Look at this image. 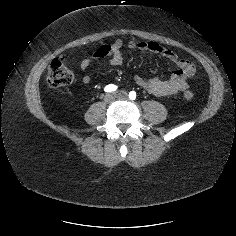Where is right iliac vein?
Masks as SVG:
<instances>
[{
	"label": "right iliac vein",
	"mask_w": 236,
	"mask_h": 236,
	"mask_svg": "<svg viewBox=\"0 0 236 236\" xmlns=\"http://www.w3.org/2000/svg\"><path fill=\"white\" fill-rule=\"evenodd\" d=\"M115 94L108 93L104 96V102L106 104H111L115 100Z\"/></svg>",
	"instance_id": "right-iliac-vein-1"
}]
</instances>
